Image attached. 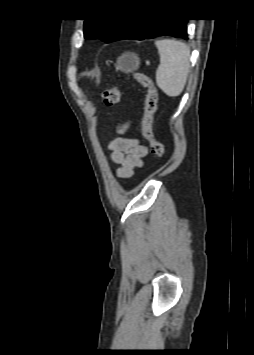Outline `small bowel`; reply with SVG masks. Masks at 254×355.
Listing matches in <instances>:
<instances>
[{
    "instance_id": "c3829d8e",
    "label": "small bowel",
    "mask_w": 254,
    "mask_h": 355,
    "mask_svg": "<svg viewBox=\"0 0 254 355\" xmlns=\"http://www.w3.org/2000/svg\"><path fill=\"white\" fill-rule=\"evenodd\" d=\"M129 124L123 125L121 128V136L114 139L109 148L111 150L110 158L114 164L119 165L117 175L120 178H129L133 175L134 170L144 166L143 158L148 155V148L140 142L138 138L126 137Z\"/></svg>"
}]
</instances>
